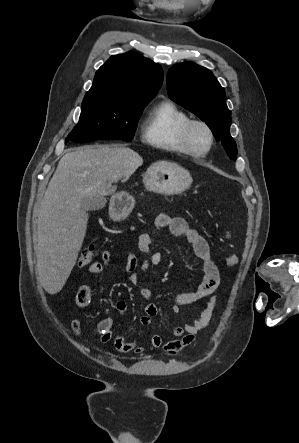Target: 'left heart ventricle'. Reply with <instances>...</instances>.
Masks as SVG:
<instances>
[{
  "mask_svg": "<svg viewBox=\"0 0 299 443\" xmlns=\"http://www.w3.org/2000/svg\"><path fill=\"white\" fill-rule=\"evenodd\" d=\"M191 141L196 150H205L209 144L208 133L204 128L197 126L193 129Z\"/></svg>",
  "mask_w": 299,
  "mask_h": 443,
  "instance_id": "b2bd125f",
  "label": "left heart ventricle"
}]
</instances>
